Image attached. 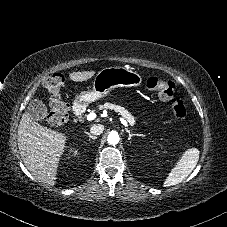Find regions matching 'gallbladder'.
<instances>
[{"mask_svg": "<svg viewBox=\"0 0 227 227\" xmlns=\"http://www.w3.org/2000/svg\"><path fill=\"white\" fill-rule=\"evenodd\" d=\"M32 119L42 120L47 116V108L40 100H32L27 108Z\"/></svg>", "mask_w": 227, "mask_h": 227, "instance_id": "obj_1", "label": "gallbladder"}]
</instances>
